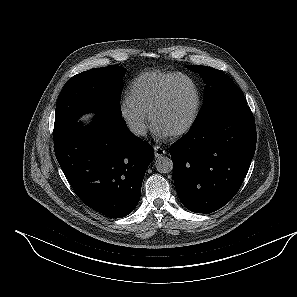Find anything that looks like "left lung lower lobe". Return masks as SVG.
<instances>
[{
	"mask_svg": "<svg viewBox=\"0 0 297 297\" xmlns=\"http://www.w3.org/2000/svg\"><path fill=\"white\" fill-rule=\"evenodd\" d=\"M255 148V121L247 105L192 126L169 150L180 201L204 214L226 205L238 192Z\"/></svg>",
	"mask_w": 297,
	"mask_h": 297,
	"instance_id": "1",
	"label": "left lung lower lobe"
}]
</instances>
